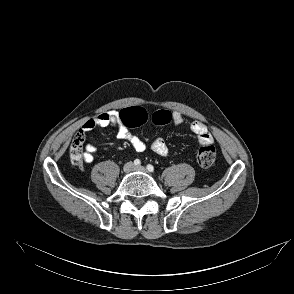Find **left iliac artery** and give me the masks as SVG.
Segmentation results:
<instances>
[{
    "instance_id": "obj_1",
    "label": "left iliac artery",
    "mask_w": 294,
    "mask_h": 294,
    "mask_svg": "<svg viewBox=\"0 0 294 294\" xmlns=\"http://www.w3.org/2000/svg\"><path fill=\"white\" fill-rule=\"evenodd\" d=\"M147 169H148V171H150V172H153V171H154V167H153L151 164H148V165H147Z\"/></svg>"
}]
</instances>
